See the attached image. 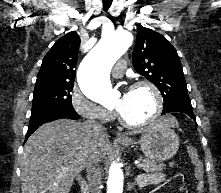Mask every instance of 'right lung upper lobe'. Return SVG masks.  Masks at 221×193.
<instances>
[{
  "mask_svg": "<svg viewBox=\"0 0 221 193\" xmlns=\"http://www.w3.org/2000/svg\"><path fill=\"white\" fill-rule=\"evenodd\" d=\"M79 46L75 31L60 38L45 55L36 84L74 83Z\"/></svg>",
  "mask_w": 221,
  "mask_h": 193,
  "instance_id": "right-lung-upper-lobe-1",
  "label": "right lung upper lobe"
}]
</instances>
